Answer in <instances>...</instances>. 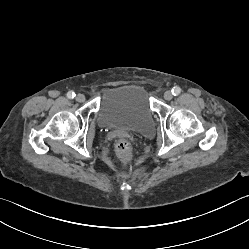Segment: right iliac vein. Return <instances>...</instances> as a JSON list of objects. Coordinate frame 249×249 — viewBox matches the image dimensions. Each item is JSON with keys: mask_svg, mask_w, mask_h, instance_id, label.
<instances>
[{"mask_svg": "<svg viewBox=\"0 0 249 249\" xmlns=\"http://www.w3.org/2000/svg\"><path fill=\"white\" fill-rule=\"evenodd\" d=\"M76 100H77L78 102H84V101H85V96H84L83 94H78V95L76 96Z\"/></svg>", "mask_w": 249, "mask_h": 249, "instance_id": "obj_1", "label": "right iliac vein"}]
</instances>
